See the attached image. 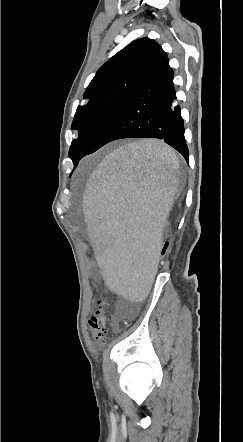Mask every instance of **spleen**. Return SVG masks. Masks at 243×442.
<instances>
[{
    "label": "spleen",
    "mask_w": 243,
    "mask_h": 442,
    "mask_svg": "<svg viewBox=\"0 0 243 442\" xmlns=\"http://www.w3.org/2000/svg\"><path fill=\"white\" fill-rule=\"evenodd\" d=\"M179 162L161 141L142 140L110 153L90 172L82 217L102 279L121 302L137 307L157 274L164 219L173 209ZM158 192V193H144Z\"/></svg>",
    "instance_id": "3e777b00"
}]
</instances>
